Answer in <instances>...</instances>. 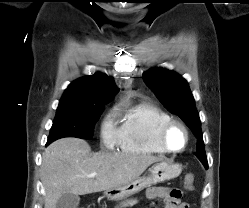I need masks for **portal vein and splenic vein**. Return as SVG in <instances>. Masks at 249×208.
Instances as JSON below:
<instances>
[{"instance_id":"1","label":"portal vein and splenic vein","mask_w":249,"mask_h":208,"mask_svg":"<svg viewBox=\"0 0 249 208\" xmlns=\"http://www.w3.org/2000/svg\"><path fill=\"white\" fill-rule=\"evenodd\" d=\"M87 177L94 178V177H96V173H91V174L87 175Z\"/></svg>"}]
</instances>
